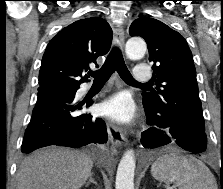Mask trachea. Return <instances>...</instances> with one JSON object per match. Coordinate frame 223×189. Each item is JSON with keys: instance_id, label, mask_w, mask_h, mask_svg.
<instances>
[{"instance_id": "trachea-1", "label": "trachea", "mask_w": 223, "mask_h": 189, "mask_svg": "<svg viewBox=\"0 0 223 189\" xmlns=\"http://www.w3.org/2000/svg\"><path fill=\"white\" fill-rule=\"evenodd\" d=\"M117 70L120 77L128 83L138 84L132 77L131 73L129 72L123 56L118 48H114L109 56L107 57L103 66L97 71L89 72V75L94 78V82L96 83H105L111 75ZM143 85H148L145 83Z\"/></svg>"}]
</instances>
